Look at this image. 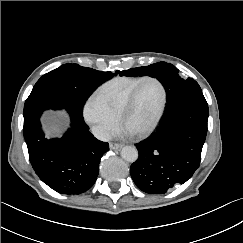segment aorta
Segmentation results:
<instances>
[{
    "instance_id": "1",
    "label": "aorta",
    "mask_w": 243,
    "mask_h": 243,
    "mask_svg": "<svg viewBox=\"0 0 243 243\" xmlns=\"http://www.w3.org/2000/svg\"><path fill=\"white\" fill-rule=\"evenodd\" d=\"M121 157L129 163H133L138 159V150L134 146H125L121 150Z\"/></svg>"
}]
</instances>
